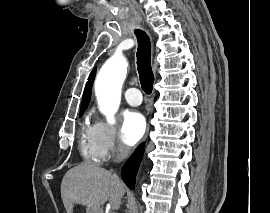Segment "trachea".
I'll return each mask as SVG.
<instances>
[{"label":"trachea","instance_id":"3493384b","mask_svg":"<svg viewBox=\"0 0 270 213\" xmlns=\"http://www.w3.org/2000/svg\"><path fill=\"white\" fill-rule=\"evenodd\" d=\"M138 40L137 66L143 91L150 94L153 89L154 75L151 68V42L142 30H135Z\"/></svg>","mask_w":270,"mask_h":213}]
</instances>
